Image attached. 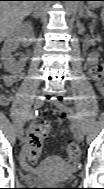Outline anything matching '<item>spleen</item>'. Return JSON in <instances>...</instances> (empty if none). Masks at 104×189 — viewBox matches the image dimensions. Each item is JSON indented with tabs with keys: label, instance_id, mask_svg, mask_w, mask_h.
Returning <instances> with one entry per match:
<instances>
[{
	"label": "spleen",
	"instance_id": "1",
	"mask_svg": "<svg viewBox=\"0 0 104 189\" xmlns=\"http://www.w3.org/2000/svg\"><path fill=\"white\" fill-rule=\"evenodd\" d=\"M89 4L92 5L93 7H97V6L100 5V2H98V1H91V2H89Z\"/></svg>",
	"mask_w": 104,
	"mask_h": 189
}]
</instances>
